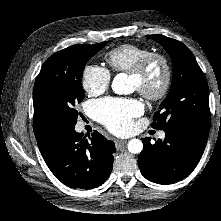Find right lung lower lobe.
I'll use <instances>...</instances> for the list:
<instances>
[{
	"label": "right lung lower lobe",
	"mask_w": 221,
	"mask_h": 221,
	"mask_svg": "<svg viewBox=\"0 0 221 221\" xmlns=\"http://www.w3.org/2000/svg\"><path fill=\"white\" fill-rule=\"evenodd\" d=\"M74 126L56 125L36 137L52 173L71 188L92 189L109 177L116 151L113 141L97 131L88 138Z\"/></svg>",
	"instance_id": "obj_1"
}]
</instances>
